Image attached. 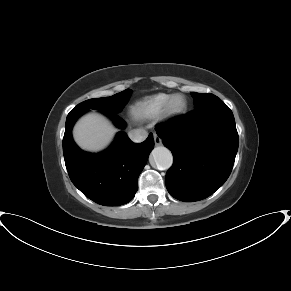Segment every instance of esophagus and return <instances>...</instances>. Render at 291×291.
Here are the masks:
<instances>
[{"label": "esophagus", "instance_id": "1", "mask_svg": "<svg viewBox=\"0 0 291 291\" xmlns=\"http://www.w3.org/2000/svg\"><path fill=\"white\" fill-rule=\"evenodd\" d=\"M153 138H154L155 145L161 144V139L156 134L153 135Z\"/></svg>", "mask_w": 291, "mask_h": 291}]
</instances>
